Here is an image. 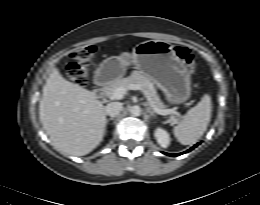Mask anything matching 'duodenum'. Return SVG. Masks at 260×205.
I'll return each mask as SVG.
<instances>
[{
	"label": "duodenum",
	"instance_id": "1",
	"mask_svg": "<svg viewBox=\"0 0 260 205\" xmlns=\"http://www.w3.org/2000/svg\"><path fill=\"white\" fill-rule=\"evenodd\" d=\"M98 80V86L94 91V95L96 96L97 99L101 100L104 98L105 93H106V88H107V83L104 80H101L99 75L97 76Z\"/></svg>",
	"mask_w": 260,
	"mask_h": 205
}]
</instances>
